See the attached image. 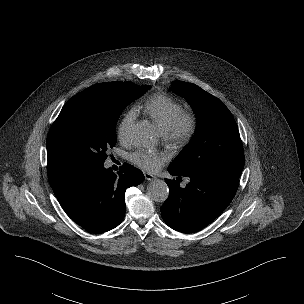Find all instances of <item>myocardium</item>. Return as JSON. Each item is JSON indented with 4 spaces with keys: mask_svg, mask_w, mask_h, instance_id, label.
<instances>
[{
    "mask_svg": "<svg viewBox=\"0 0 304 304\" xmlns=\"http://www.w3.org/2000/svg\"><path fill=\"white\" fill-rule=\"evenodd\" d=\"M197 129L193 111L181 109L163 131L164 140L175 146H184L192 140Z\"/></svg>",
    "mask_w": 304,
    "mask_h": 304,
    "instance_id": "f54148a6",
    "label": "myocardium"
}]
</instances>
